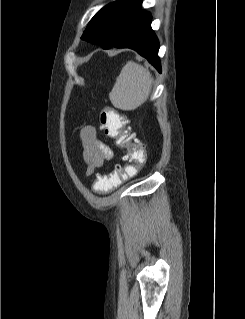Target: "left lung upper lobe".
<instances>
[{
    "label": "left lung upper lobe",
    "mask_w": 245,
    "mask_h": 319,
    "mask_svg": "<svg viewBox=\"0 0 245 319\" xmlns=\"http://www.w3.org/2000/svg\"><path fill=\"white\" fill-rule=\"evenodd\" d=\"M141 4V0L109 3L94 15L81 38L101 47L112 45L131 17L141 9Z\"/></svg>",
    "instance_id": "obj_1"
}]
</instances>
